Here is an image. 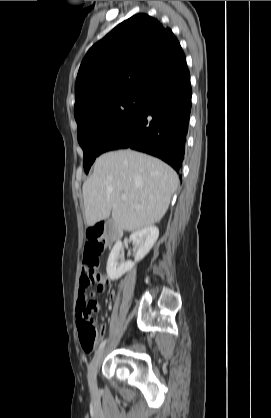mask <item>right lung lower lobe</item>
Instances as JSON below:
<instances>
[{
  "label": "right lung lower lobe",
  "instance_id": "98d812e1",
  "mask_svg": "<svg viewBox=\"0 0 271 418\" xmlns=\"http://www.w3.org/2000/svg\"><path fill=\"white\" fill-rule=\"evenodd\" d=\"M191 95L190 73L185 64L134 115L107 136L99 155L131 148L164 160L178 172L184 158Z\"/></svg>",
  "mask_w": 271,
  "mask_h": 418
}]
</instances>
